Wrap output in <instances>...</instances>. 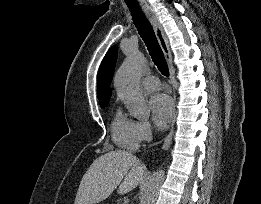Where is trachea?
<instances>
[{
  "instance_id": "trachea-1",
  "label": "trachea",
  "mask_w": 261,
  "mask_h": 204,
  "mask_svg": "<svg viewBox=\"0 0 261 204\" xmlns=\"http://www.w3.org/2000/svg\"><path fill=\"white\" fill-rule=\"evenodd\" d=\"M131 15L133 22L143 39L144 43L147 46V49L149 51V54L151 55V58L154 62V64L157 66L158 70L164 75L169 76V69L166 62V59L164 57L163 51L157 41V38L155 36L154 30L144 15L142 9L139 5H130L127 4Z\"/></svg>"
}]
</instances>
